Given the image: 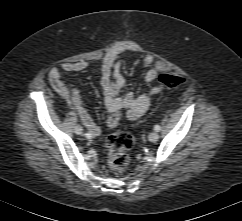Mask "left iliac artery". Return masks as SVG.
I'll return each mask as SVG.
<instances>
[{
  "label": "left iliac artery",
  "instance_id": "44dca946",
  "mask_svg": "<svg viewBox=\"0 0 242 221\" xmlns=\"http://www.w3.org/2000/svg\"><path fill=\"white\" fill-rule=\"evenodd\" d=\"M160 129H161V128H160L159 125H156V126L154 127V130L157 131V132L160 131Z\"/></svg>",
  "mask_w": 242,
  "mask_h": 221
}]
</instances>
